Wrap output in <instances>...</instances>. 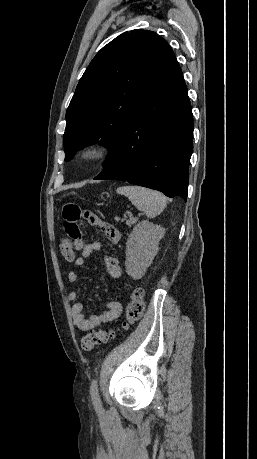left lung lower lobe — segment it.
<instances>
[{
    "mask_svg": "<svg viewBox=\"0 0 257 459\" xmlns=\"http://www.w3.org/2000/svg\"><path fill=\"white\" fill-rule=\"evenodd\" d=\"M193 115L172 52L121 125L115 149L94 178L127 181L187 200Z\"/></svg>",
    "mask_w": 257,
    "mask_h": 459,
    "instance_id": "1",
    "label": "left lung lower lobe"
}]
</instances>
